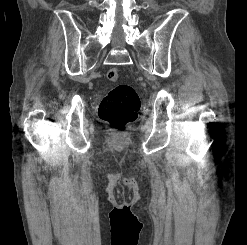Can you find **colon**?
<instances>
[{"instance_id": "1", "label": "colon", "mask_w": 247, "mask_h": 245, "mask_svg": "<svg viewBox=\"0 0 247 245\" xmlns=\"http://www.w3.org/2000/svg\"><path fill=\"white\" fill-rule=\"evenodd\" d=\"M119 75V70L115 67L107 72V78L111 82H116ZM140 107V99L135 89L127 84H119L102 99L98 115L111 128L123 130L137 119Z\"/></svg>"}]
</instances>
